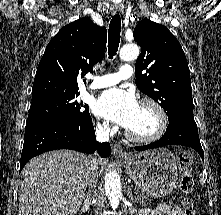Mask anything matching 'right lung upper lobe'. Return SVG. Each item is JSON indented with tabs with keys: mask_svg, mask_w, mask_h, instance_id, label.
Wrapping results in <instances>:
<instances>
[{
	"mask_svg": "<svg viewBox=\"0 0 221 215\" xmlns=\"http://www.w3.org/2000/svg\"><path fill=\"white\" fill-rule=\"evenodd\" d=\"M107 30L89 18L64 26L48 43L39 62L32 101L50 95L78 92L77 76L93 68L103 56Z\"/></svg>",
	"mask_w": 221,
	"mask_h": 215,
	"instance_id": "obj_1",
	"label": "right lung upper lobe"
}]
</instances>
